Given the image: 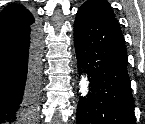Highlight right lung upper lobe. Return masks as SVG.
Listing matches in <instances>:
<instances>
[{
	"mask_svg": "<svg viewBox=\"0 0 145 124\" xmlns=\"http://www.w3.org/2000/svg\"><path fill=\"white\" fill-rule=\"evenodd\" d=\"M33 23L32 14L21 5L10 4L0 12V32L20 30Z\"/></svg>",
	"mask_w": 145,
	"mask_h": 124,
	"instance_id": "cb5924a9",
	"label": "right lung upper lobe"
}]
</instances>
